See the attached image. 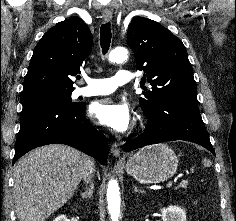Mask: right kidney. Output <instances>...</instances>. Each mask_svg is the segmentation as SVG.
<instances>
[{"label":"right kidney","instance_id":"1","mask_svg":"<svg viewBox=\"0 0 236 221\" xmlns=\"http://www.w3.org/2000/svg\"><path fill=\"white\" fill-rule=\"evenodd\" d=\"M53 221H69L65 215H60L55 218Z\"/></svg>","mask_w":236,"mask_h":221}]
</instances>
